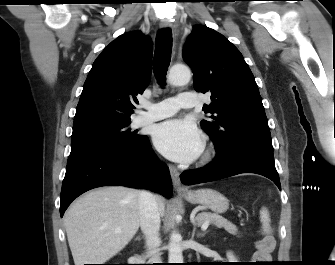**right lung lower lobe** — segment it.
Segmentation results:
<instances>
[{
	"label": "right lung lower lobe",
	"instance_id": "right-lung-lower-lobe-1",
	"mask_svg": "<svg viewBox=\"0 0 335 265\" xmlns=\"http://www.w3.org/2000/svg\"><path fill=\"white\" fill-rule=\"evenodd\" d=\"M148 188L172 195L169 168L152 151L146 136L130 149H88L69 155L60 196V215L82 193L101 186Z\"/></svg>",
	"mask_w": 335,
	"mask_h": 265
}]
</instances>
